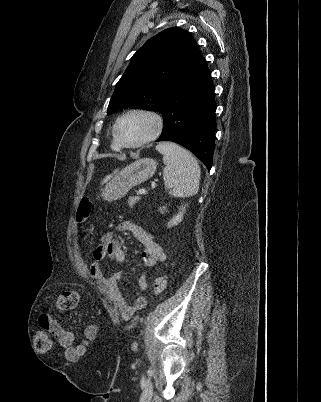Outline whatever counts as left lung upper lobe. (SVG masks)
<instances>
[{"instance_id":"obj_1","label":"left lung upper lobe","mask_w":321,"mask_h":402,"mask_svg":"<svg viewBox=\"0 0 321 402\" xmlns=\"http://www.w3.org/2000/svg\"><path fill=\"white\" fill-rule=\"evenodd\" d=\"M201 59L186 30L168 28L158 33L131 58L115 87L108 114L123 108L161 112L168 94Z\"/></svg>"}]
</instances>
